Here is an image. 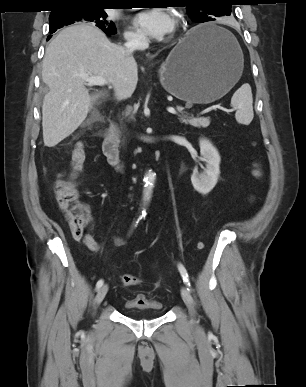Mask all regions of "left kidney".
<instances>
[{
  "instance_id": "1",
  "label": "left kidney",
  "mask_w": 306,
  "mask_h": 387,
  "mask_svg": "<svg viewBox=\"0 0 306 387\" xmlns=\"http://www.w3.org/2000/svg\"><path fill=\"white\" fill-rule=\"evenodd\" d=\"M200 154L202 161L206 162L204 171L199 173L194 169L191 176V182L194 189L205 195L208 194L217 184L220 174V155L217 149L206 139L199 141Z\"/></svg>"
}]
</instances>
